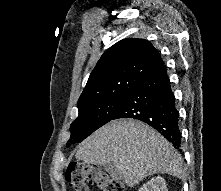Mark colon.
I'll return each mask as SVG.
<instances>
[{"label": "colon", "mask_w": 221, "mask_h": 191, "mask_svg": "<svg viewBox=\"0 0 221 191\" xmlns=\"http://www.w3.org/2000/svg\"><path fill=\"white\" fill-rule=\"evenodd\" d=\"M65 178L73 191H89V184L99 191H124L121 181L86 163H70Z\"/></svg>", "instance_id": "1"}]
</instances>
